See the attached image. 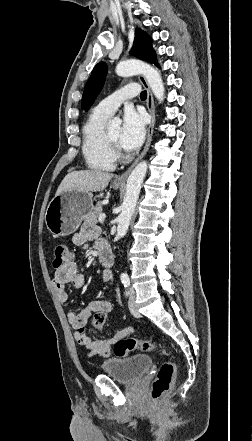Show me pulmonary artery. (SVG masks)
<instances>
[{
    "mask_svg": "<svg viewBox=\"0 0 252 441\" xmlns=\"http://www.w3.org/2000/svg\"><path fill=\"white\" fill-rule=\"evenodd\" d=\"M139 93L140 86L138 84L125 85L102 100L94 110L106 116H111L123 102L136 97Z\"/></svg>",
    "mask_w": 252,
    "mask_h": 441,
    "instance_id": "1",
    "label": "pulmonary artery"
}]
</instances>
